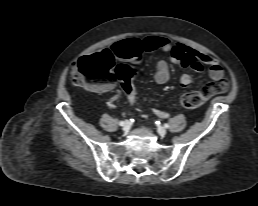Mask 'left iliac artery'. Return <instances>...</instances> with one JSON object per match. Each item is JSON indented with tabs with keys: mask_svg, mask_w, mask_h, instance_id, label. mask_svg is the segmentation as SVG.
Returning <instances> with one entry per match:
<instances>
[{
	"mask_svg": "<svg viewBox=\"0 0 258 206\" xmlns=\"http://www.w3.org/2000/svg\"><path fill=\"white\" fill-rule=\"evenodd\" d=\"M164 127H165V128H169V124H167V123L164 124Z\"/></svg>",
	"mask_w": 258,
	"mask_h": 206,
	"instance_id": "44dca946",
	"label": "left iliac artery"
}]
</instances>
